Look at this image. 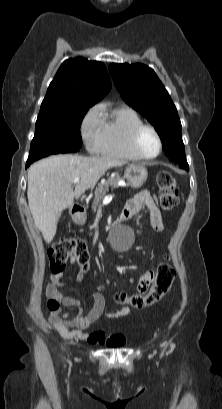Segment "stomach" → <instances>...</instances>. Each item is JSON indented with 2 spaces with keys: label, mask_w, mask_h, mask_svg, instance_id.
<instances>
[{
  "label": "stomach",
  "mask_w": 222,
  "mask_h": 409,
  "mask_svg": "<svg viewBox=\"0 0 222 409\" xmlns=\"http://www.w3.org/2000/svg\"><path fill=\"white\" fill-rule=\"evenodd\" d=\"M147 177V169L142 165L132 164L126 167L124 172V178L127 180L128 185L133 188L140 187ZM72 219L76 224L83 225L86 222V214L84 212L73 214Z\"/></svg>",
  "instance_id": "0dacf381"
}]
</instances>
